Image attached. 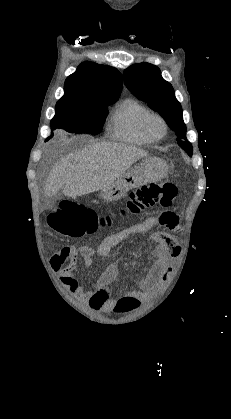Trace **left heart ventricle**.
<instances>
[{
	"instance_id": "obj_1",
	"label": "left heart ventricle",
	"mask_w": 231,
	"mask_h": 419,
	"mask_svg": "<svg viewBox=\"0 0 231 419\" xmlns=\"http://www.w3.org/2000/svg\"><path fill=\"white\" fill-rule=\"evenodd\" d=\"M149 130L154 136H159L163 132V126L158 119H152L149 122Z\"/></svg>"
}]
</instances>
